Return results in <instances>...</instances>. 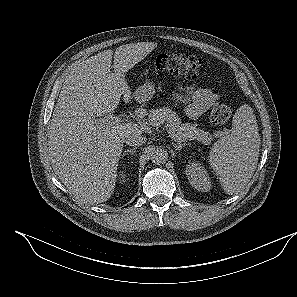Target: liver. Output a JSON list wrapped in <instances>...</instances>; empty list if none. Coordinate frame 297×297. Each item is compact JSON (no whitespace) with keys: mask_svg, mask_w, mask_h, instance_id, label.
Wrapping results in <instances>:
<instances>
[{"mask_svg":"<svg viewBox=\"0 0 297 297\" xmlns=\"http://www.w3.org/2000/svg\"><path fill=\"white\" fill-rule=\"evenodd\" d=\"M157 46L138 42L104 50L75 66L65 78L48 133L49 158L58 178L81 203L107 201L115 188L125 136L131 123L105 124L121 96L132 99L125 73ZM114 58V73L111 71ZM144 110L136 111L141 117Z\"/></svg>","mask_w":297,"mask_h":297,"instance_id":"obj_1","label":"liver"}]
</instances>
